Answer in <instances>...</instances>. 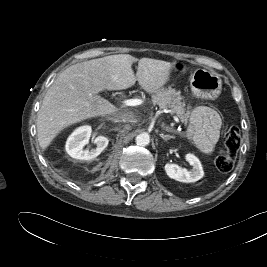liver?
<instances>
[{"mask_svg":"<svg viewBox=\"0 0 267 267\" xmlns=\"http://www.w3.org/2000/svg\"><path fill=\"white\" fill-rule=\"evenodd\" d=\"M138 61L136 76L132 65ZM173 64L129 54L110 55L78 63L64 70L43 98L37 116V136L45 150L66 127L83 120L121 113L98 93L123 90L138 84L156 93L170 78Z\"/></svg>","mask_w":267,"mask_h":267,"instance_id":"6515ba94","label":"liver"}]
</instances>
